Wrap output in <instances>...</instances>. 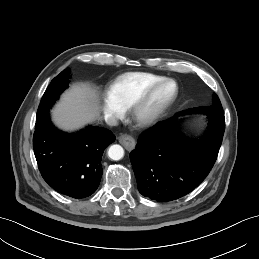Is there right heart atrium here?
Wrapping results in <instances>:
<instances>
[{
  "instance_id": "obj_1",
  "label": "right heart atrium",
  "mask_w": 259,
  "mask_h": 259,
  "mask_svg": "<svg viewBox=\"0 0 259 259\" xmlns=\"http://www.w3.org/2000/svg\"><path fill=\"white\" fill-rule=\"evenodd\" d=\"M103 110L105 117L110 121L123 117L125 113V110L111 101L108 97H106L103 101Z\"/></svg>"
}]
</instances>
